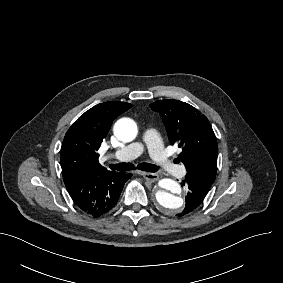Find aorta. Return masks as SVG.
I'll return each instance as SVG.
<instances>
[{
	"instance_id": "762f6f07",
	"label": "aorta",
	"mask_w": 283,
	"mask_h": 283,
	"mask_svg": "<svg viewBox=\"0 0 283 283\" xmlns=\"http://www.w3.org/2000/svg\"><path fill=\"white\" fill-rule=\"evenodd\" d=\"M138 133L137 124L134 120L124 117L119 119L114 125V135L122 142L133 141ZM161 188L155 194L160 207L168 214H177L183 208L184 201L181 194L180 185L169 178L159 181Z\"/></svg>"
}]
</instances>
